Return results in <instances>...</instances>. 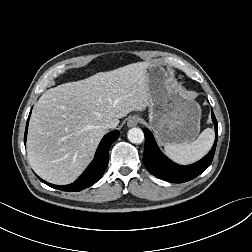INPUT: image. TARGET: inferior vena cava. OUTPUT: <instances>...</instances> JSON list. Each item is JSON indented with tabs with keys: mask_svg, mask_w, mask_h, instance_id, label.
Returning a JSON list of instances; mask_svg holds the SVG:
<instances>
[{
	"mask_svg": "<svg viewBox=\"0 0 252 252\" xmlns=\"http://www.w3.org/2000/svg\"><path fill=\"white\" fill-rule=\"evenodd\" d=\"M116 126H117V124L114 123V122H112V121H107V122H104V123L102 124V127H103L104 129H114Z\"/></svg>",
	"mask_w": 252,
	"mask_h": 252,
	"instance_id": "602c4592",
	"label": "inferior vena cava"
}]
</instances>
